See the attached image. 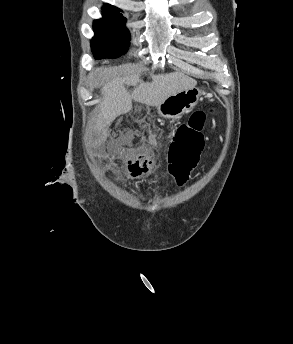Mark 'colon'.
<instances>
[{"label": "colon", "mask_w": 293, "mask_h": 344, "mask_svg": "<svg viewBox=\"0 0 293 344\" xmlns=\"http://www.w3.org/2000/svg\"><path fill=\"white\" fill-rule=\"evenodd\" d=\"M207 116L206 111L193 112L173 135L170 147L171 165L176 181L180 185L188 179L189 172L197 165L204 148L202 131ZM126 164L130 178L141 181L147 177L152 168L151 153L147 149L134 150L127 155Z\"/></svg>", "instance_id": "5ec220e1"}]
</instances>
